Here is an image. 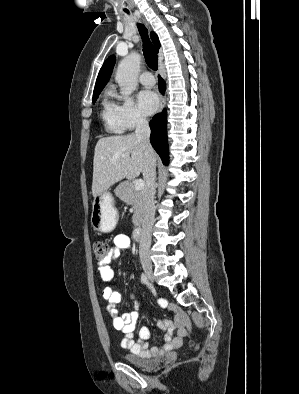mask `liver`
I'll return each mask as SVG.
<instances>
[{
    "label": "liver",
    "mask_w": 299,
    "mask_h": 394,
    "mask_svg": "<svg viewBox=\"0 0 299 394\" xmlns=\"http://www.w3.org/2000/svg\"><path fill=\"white\" fill-rule=\"evenodd\" d=\"M153 156L156 158L154 151ZM144 166L145 152L135 134L100 138L93 159V196H99L124 178L139 176Z\"/></svg>",
    "instance_id": "obj_1"
}]
</instances>
